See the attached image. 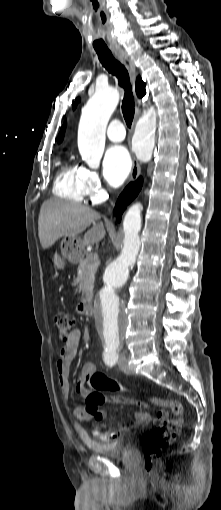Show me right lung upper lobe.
<instances>
[{
    "mask_svg": "<svg viewBox=\"0 0 221 510\" xmlns=\"http://www.w3.org/2000/svg\"><path fill=\"white\" fill-rule=\"evenodd\" d=\"M136 92H137V95L139 97H142L145 94V83L141 80L140 77H138L137 80H136ZM65 126H66V123L64 124V126L62 127V129L60 131V134H59V137H58V142L59 143L63 140Z\"/></svg>",
    "mask_w": 221,
    "mask_h": 510,
    "instance_id": "obj_1",
    "label": "right lung upper lobe"
}]
</instances>
